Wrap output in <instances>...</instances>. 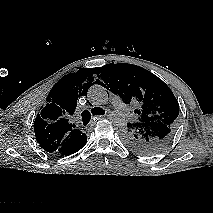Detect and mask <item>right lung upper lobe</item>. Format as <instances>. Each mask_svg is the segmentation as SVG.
<instances>
[{"mask_svg": "<svg viewBox=\"0 0 213 213\" xmlns=\"http://www.w3.org/2000/svg\"><path fill=\"white\" fill-rule=\"evenodd\" d=\"M95 70L80 68L62 77L51 89L48 103L41 107L34 122L36 140L47 152L61 154L85 137L69 123V117L74 114L77 99L92 85Z\"/></svg>", "mask_w": 213, "mask_h": 213, "instance_id": "right-lung-upper-lobe-1", "label": "right lung upper lobe"}]
</instances>
